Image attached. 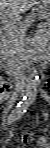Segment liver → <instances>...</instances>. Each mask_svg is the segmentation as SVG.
<instances>
[{"mask_svg":"<svg viewBox=\"0 0 50 148\" xmlns=\"http://www.w3.org/2000/svg\"><path fill=\"white\" fill-rule=\"evenodd\" d=\"M42 0H1L0 7L2 17L8 21L17 20L22 13L28 11L32 6Z\"/></svg>","mask_w":50,"mask_h":148,"instance_id":"1","label":"liver"}]
</instances>
